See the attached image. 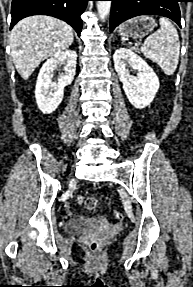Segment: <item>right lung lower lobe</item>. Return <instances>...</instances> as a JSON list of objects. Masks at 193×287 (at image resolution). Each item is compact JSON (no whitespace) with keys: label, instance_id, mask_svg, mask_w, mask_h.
<instances>
[{"label":"right lung lower lobe","instance_id":"1","mask_svg":"<svg viewBox=\"0 0 193 287\" xmlns=\"http://www.w3.org/2000/svg\"><path fill=\"white\" fill-rule=\"evenodd\" d=\"M89 0H12L10 29L21 19L32 15H49L64 20L80 36L82 19Z\"/></svg>","mask_w":193,"mask_h":287}]
</instances>
